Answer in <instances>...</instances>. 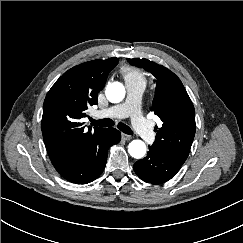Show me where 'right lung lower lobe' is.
<instances>
[{"label":"right lung lower lobe","instance_id":"98d812e1","mask_svg":"<svg viewBox=\"0 0 243 243\" xmlns=\"http://www.w3.org/2000/svg\"><path fill=\"white\" fill-rule=\"evenodd\" d=\"M120 132L115 128H106L99 140L81 154L65 153L50 156L51 162L58 173L66 180L76 184L94 181L103 172L108 149L119 143Z\"/></svg>","mask_w":243,"mask_h":243}]
</instances>
